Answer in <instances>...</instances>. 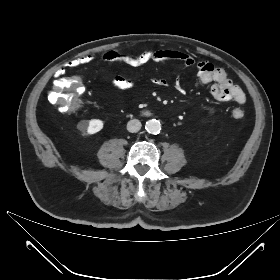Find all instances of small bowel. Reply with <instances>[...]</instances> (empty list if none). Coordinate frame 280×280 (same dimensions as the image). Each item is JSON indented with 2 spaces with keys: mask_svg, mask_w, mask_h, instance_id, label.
I'll return each mask as SVG.
<instances>
[{
  "mask_svg": "<svg viewBox=\"0 0 280 280\" xmlns=\"http://www.w3.org/2000/svg\"><path fill=\"white\" fill-rule=\"evenodd\" d=\"M93 60L91 55L79 57L69 61L65 67L66 69H75L81 65L87 64ZM102 60L105 63H112L114 61H123L132 66L143 65L148 61H164L174 60L182 62L186 67H197V78L201 84H211V95L218 101H234L239 105L246 102V95L243 90L233 83L226 70L214 66L212 63L206 61L195 62V60L185 52L178 50H152L142 56H133L123 50L115 49L109 50L102 54ZM64 69L59 70L58 75L63 74ZM112 85L120 89H130L134 85V81L123 76H113L110 79ZM151 82L158 87L166 86L167 81L160 77H152ZM176 87L181 90L179 81L176 82ZM203 109L208 113H213L215 107L212 105H205ZM237 112L243 113L240 108L233 110L234 118Z\"/></svg>",
  "mask_w": 280,
  "mask_h": 280,
  "instance_id": "c3829d8e",
  "label": "small bowel"
}]
</instances>
